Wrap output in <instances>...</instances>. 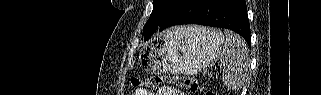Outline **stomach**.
<instances>
[{
	"label": "stomach",
	"instance_id": "stomach-1",
	"mask_svg": "<svg viewBox=\"0 0 321 95\" xmlns=\"http://www.w3.org/2000/svg\"><path fill=\"white\" fill-rule=\"evenodd\" d=\"M181 27L167 30L140 54L141 66L150 73L195 74L218 58L224 37L215 30Z\"/></svg>",
	"mask_w": 321,
	"mask_h": 95
}]
</instances>
